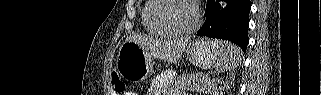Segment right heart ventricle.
Wrapping results in <instances>:
<instances>
[{
    "label": "right heart ventricle",
    "instance_id": "obj_1",
    "mask_svg": "<svg viewBox=\"0 0 321 95\" xmlns=\"http://www.w3.org/2000/svg\"><path fill=\"white\" fill-rule=\"evenodd\" d=\"M152 5V1L151 0H147L145 1L143 8H142V24L144 26V28L146 29V31L152 35L155 36H165V34H163L162 32H160L159 30H157L152 23L150 22L149 18H148V12L150 9V6Z\"/></svg>",
    "mask_w": 321,
    "mask_h": 95
}]
</instances>
